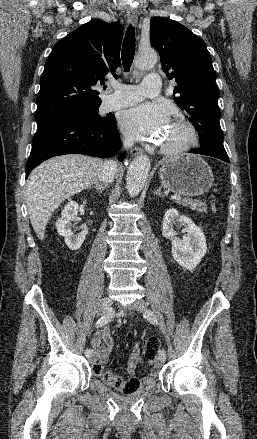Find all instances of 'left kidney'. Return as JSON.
Instances as JSON below:
<instances>
[{
    "instance_id": "5707ae66",
    "label": "left kidney",
    "mask_w": 257,
    "mask_h": 439,
    "mask_svg": "<svg viewBox=\"0 0 257 439\" xmlns=\"http://www.w3.org/2000/svg\"><path fill=\"white\" fill-rule=\"evenodd\" d=\"M174 225L184 226L186 234L182 239L175 237ZM162 235L172 241L174 260L187 270H193L206 254L207 244L202 230L188 217L179 215L174 208L165 212Z\"/></svg>"
}]
</instances>
